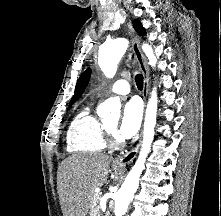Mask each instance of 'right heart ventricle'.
I'll return each instance as SVG.
<instances>
[{
    "instance_id": "obj_1",
    "label": "right heart ventricle",
    "mask_w": 221,
    "mask_h": 216,
    "mask_svg": "<svg viewBox=\"0 0 221 216\" xmlns=\"http://www.w3.org/2000/svg\"><path fill=\"white\" fill-rule=\"evenodd\" d=\"M66 141L70 152H100L106 148L104 124L92 113L90 107H85L71 122Z\"/></svg>"
}]
</instances>
